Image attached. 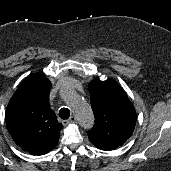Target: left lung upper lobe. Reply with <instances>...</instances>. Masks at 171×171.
Instances as JSON below:
<instances>
[{
    "label": "left lung upper lobe",
    "instance_id": "5c2ea615",
    "mask_svg": "<svg viewBox=\"0 0 171 171\" xmlns=\"http://www.w3.org/2000/svg\"><path fill=\"white\" fill-rule=\"evenodd\" d=\"M89 92L95 124L88 137L95 146L116 149L133 133L136 111L121 86L112 80H93Z\"/></svg>",
    "mask_w": 171,
    "mask_h": 171
}]
</instances>
